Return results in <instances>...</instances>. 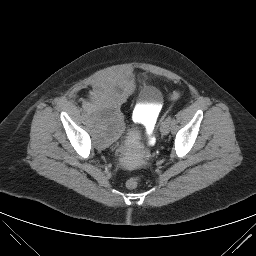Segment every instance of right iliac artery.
<instances>
[{
  "label": "right iliac artery",
  "mask_w": 256,
  "mask_h": 256,
  "mask_svg": "<svg viewBox=\"0 0 256 256\" xmlns=\"http://www.w3.org/2000/svg\"><path fill=\"white\" fill-rule=\"evenodd\" d=\"M82 109H83L84 111H87V110L89 109V106H88L87 104H84V105L82 106Z\"/></svg>",
  "instance_id": "1"
}]
</instances>
